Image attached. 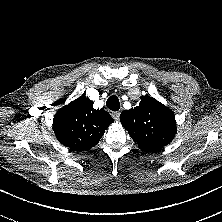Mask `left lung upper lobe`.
I'll use <instances>...</instances> for the list:
<instances>
[{"mask_svg": "<svg viewBox=\"0 0 222 222\" xmlns=\"http://www.w3.org/2000/svg\"><path fill=\"white\" fill-rule=\"evenodd\" d=\"M123 127L143 151H158L176 134V121L171 109L150 96H142L139 106L120 114Z\"/></svg>", "mask_w": 222, "mask_h": 222, "instance_id": "obj_1", "label": "left lung upper lobe"}]
</instances>
